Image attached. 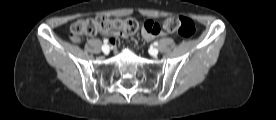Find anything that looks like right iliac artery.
I'll use <instances>...</instances> for the list:
<instances>
[{
  "mask_svg": "<svg viewBox=\"0 0 276 120\" xmlns=\"http://www.w3.org/2000/svg\"><path fill=\"white\" fill-rule=\"evenodd\" d=\"M103 42H104V44H107L109 42V40L108 39H104Z\"/></svg>",
  "mask_w": 276,
  "mask_h": 120,
  "instance_id": "right-iliac-artery-1",
  "label": "right iliac artery"
}]
</instances>
